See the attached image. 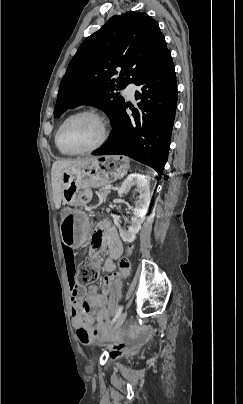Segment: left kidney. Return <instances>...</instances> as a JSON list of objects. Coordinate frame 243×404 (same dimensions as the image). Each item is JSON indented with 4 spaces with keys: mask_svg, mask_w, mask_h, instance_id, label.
<instances>
[{
    "mask_svg": "<svg viewBox=\"0 0 243 404\" xmlns=\"http://www.w3.org/2000/svg\"><path fill=\"white\" fill-rule=\"evenodd\" d=\"M132 188H134L135 192H139V196L138 200L135 202V208L132 210L134 216L131 218L130 226L127 232L120 228L119 218H114V224L115 226H118L120 236L123 242H126V244H131V242H134L137 232L141 230V224H143L145 220V216L150 204V184L146 176H141V174H130V176L124 180L121 188H119V196L127 194V192H130Z\"/></svg>",
    "mask_w": 243,
    "mask_h": 404,
    "instance_id": "left-kidney-1",
    "label": "left kidney"
}]
</instances>
